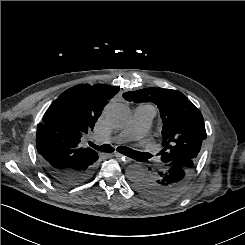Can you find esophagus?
<instances>
[{"label":"esophagus","instance_id":"esophagus-1","mask_svg":"<svg viewBox=\"0 0 245 245\" xmlns=\"http://www.w3.org/2000/svg\"><path fill=\"white\" fill-rule=\"evenodd\" d=\"M113 156L122 159V161L124 163H129L131 161L130 158H128L127 156H124V155H122L120 153H114Z\"/></svg>","mask_w":245,"mask_h":245}]
</instances>
